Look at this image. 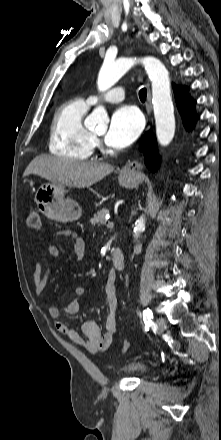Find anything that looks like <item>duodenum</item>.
I'll list each match as a JSON object with an SVG mask.
<instances>
[{
    "instance_id": "410a0bca",
    "label": "duodenum",
    "mask_w": 221,
    "mask_h": 440,
    "mask_svg": "<svg viewBox=\"0 0 221 440\" xmlns=\"http://www.w3.org/2000/svg\"><path fill=\"white\" fill-rule=\"evenodd\" d=\"M112 262H113V271L118 272L123 270L125 266V257L124 253L119 248H114L112 250Z\"/></svg>"
}]
</instances>
